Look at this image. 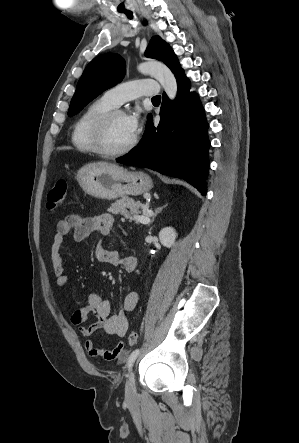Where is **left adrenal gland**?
I'll list each match as a JSON object with an SVG mask.
<instances>
[{"mask_svg": "<svg viewBox=\"0 0 299 443\" xmlns=\"http://www.w3.org/2000/svg\"><path fill=\"white\" fill-rule=\"evenodd\" d=\"M162 209H163V207H160V208H158V209L155 210V214H154V216L152 217L151 223L154 221V218L156 217V215H157L158 213L161 212Z\"/></svg>", "mask_w": 299, "mask_h": 443, "instance_id": "obj_1", "label": "left adrenal gland"}]
</instances>
